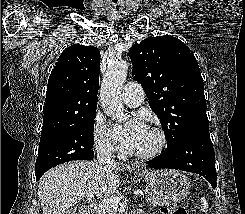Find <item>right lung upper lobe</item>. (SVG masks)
Here are the masks:
<instances>
[{
	"mask_svg": "<svg viewBox=\"0 0 245 214\" xmlns=\"http://www.w3.org/2000/svg\"><path fill=\"white\" fill-rule=\"evenodd\" d=\"M100 52L74 44L58 58L48 80L41 135L73 125L97 108Z\"/></svg>",
	"mask_w": 245,
	"mask_h": 214,
	"instance_id": "cb5924a9",
	"label": "right lung upper lobe"
}]
</instances>
